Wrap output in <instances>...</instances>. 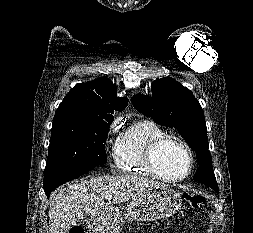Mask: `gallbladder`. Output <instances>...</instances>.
<instances>
[{
    "label": "gallbladder",
    "mask_w": 253,
    "mask_h": 233,
    "mask_svg": "<svg viewBox=\"0 0 253 233\" xmlns=\"http://www.w3.org/2000/svg\"><path fill=\"white\" fill-rule=\"evenodd\" d=\"M85 221V219H82V222H84Z\"/></svg>",
    "instance_id": "1"
}]
</instances>
